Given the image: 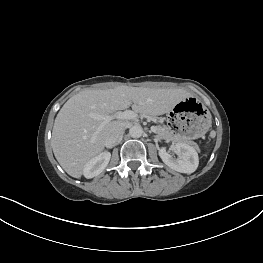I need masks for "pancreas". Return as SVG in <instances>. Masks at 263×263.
<instances>
[{"label": "pancreas", "instance_id": "1", "mask_svg": "<svg viewBox=\"0 0 263 263\" xmlns=\"http://www.w3.org/2000/svg\"><path fill=\"white\" fill-rule=\"evenodd\" d=\"M156 128H157V136L159 138L166 139V140L181 141V142H184V143H188L189 145H191L194 148L198 149V145H197L196 142L176 136L174 134V131L171 130L170 127H167V126H156Z\"/></svg>", "mask_w": 263, "mask_h": 263}]
</instances>
